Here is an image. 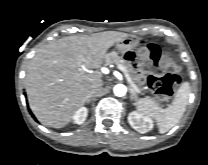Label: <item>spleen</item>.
<instances>
[{
    "label": "spleen",
    "instance_id": "1",
    "mask_svg": "<svg viewBox=\"0 0 208 165\" xmlns=\"http://www.w3.org/2000/svg\"><path fill=\"white\" fill-rule=\"evenodd\" d=\"M190 96V84L182 83L171 105L167 108L159 107L155 102L148 99H140L135 105L137 111L147 117L156 120L159 133H166L173 128L182 118Z\"/></svg>",
    "mask_w": 208,
    "mask_h": 165
}]
</instances>
